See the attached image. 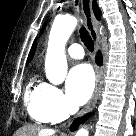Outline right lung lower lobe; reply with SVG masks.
I'll return each instance as SVG.
<instances>
[{
    "mask_svg": "<svg viewBox=\"0 0 136 136\" xmlns=\"http://www.w3.org/2000/svg\"><path fill=\"white\" fill-rule=\"evenodd\" d=\"M96 62H97V64H101V63H102V57H101L100 54L97 55ZM89 115H90V114L86 115V116L83 117L80 121L77 120V121L71 126V131L76 130L77 127H78V125H79L80 123H84V122L88 119Z\"/></svg>",
    "mask_w": 136,
    "mask_h": 136,
    "instance_id": "obj_1",
    "label": "right lung lower lobe"
}]
</instances>
